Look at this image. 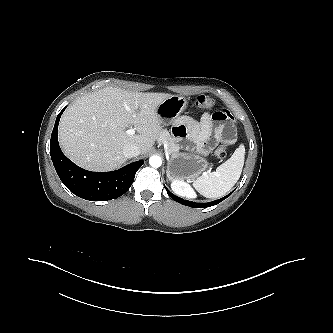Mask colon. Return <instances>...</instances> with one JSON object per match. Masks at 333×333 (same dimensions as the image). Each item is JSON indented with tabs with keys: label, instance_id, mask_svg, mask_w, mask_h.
Listing matches in <instances>:
<instances>
[{
	"label": "colon",
	"instance_id": "5ec220e1",
	"mask_svg": "<svg viewBox=\"0 0 333 333\" xmlns=\"http://www.w3.org/2000/svg\"><path fill=\"white\" fill-rule=\"evenodd\" d=\"M193 105L196 108L200 109H212L215 106V101L207 95H199L194 100ZM229 142L230 141L224 142L221 146L217 148V150L215 151V155L217 158L223 159L227 156Z\"/></svg>",
	"mask_w": 333,
	"mask_h": 333
}]
</instances>
